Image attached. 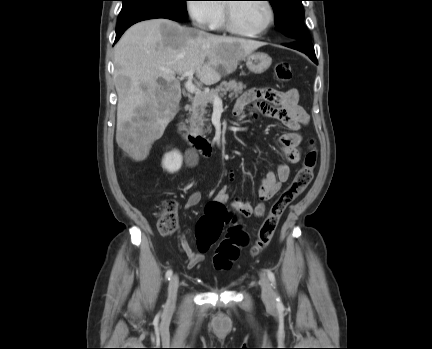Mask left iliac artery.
I'll use <instances>...</instances> for the list:
<instances>
[{
  "instance_id": "left-iliac-artery-1",
  "label": "left iliac artery",
  "mask_w": 432,
  "mask_h": 349,
  "mask_svg": "<svg viewBox=\"0 0 432 349\" xmlns=\"http://www.w3.org/2000/svg\"><path fill=\"white\" fill-rule=\"evenodd\" d=\"M267 276H268V278H269V280L271 282V285L274 288H276V279H275L274 273L272 271H270V270H267ZM276 302H277V306L278 307H283V304H282V301H281V298H280L279 295L276 296Z\"/></svg>"
}]
</instances>
